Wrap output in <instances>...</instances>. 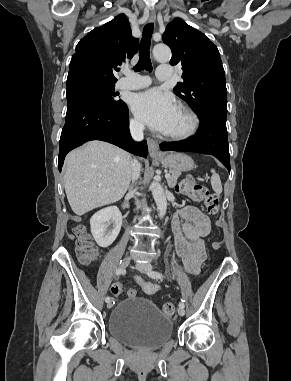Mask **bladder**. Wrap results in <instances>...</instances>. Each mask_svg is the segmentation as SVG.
<instances>
[{
  "label": "bladder",
  "instance_id": "1",
  "mask_svg": "<svg viewBox=\"0 0 291 381\" xmlns=\"http://www.w3.org/2000/svg\"><path fill=\"white\" fill-rule=\"evenodd\" d=\"M108 333L138 349H157L172 338L173 324L150 299L129 297L110 313Z\"/></svg>",
  "mask_w": 291,
  "mask_h": 381
}]
</instances>
